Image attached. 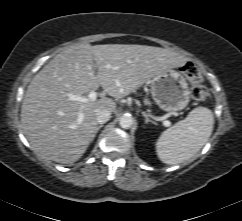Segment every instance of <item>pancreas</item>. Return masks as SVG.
Returning <instances> with one entry per match:
<instances>
[{
  "label": "pancreas",
  "mask_w": 242,
  "mask_h": 221,
  "mask_svg": "<svg viewBox=\"0 0 242 221\" xmlns=\"http://www.w3.org/2000/svg\"><path fill=\"white\" fill-rule=\"evenodd\" d=\"M145 103H149L148 99H145Z\"/></svg>",
  "instance_id": "obj_1"
}]
</instances>
